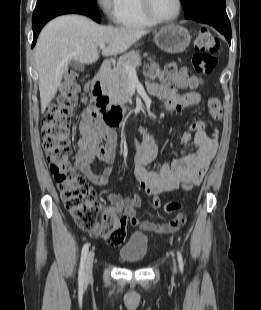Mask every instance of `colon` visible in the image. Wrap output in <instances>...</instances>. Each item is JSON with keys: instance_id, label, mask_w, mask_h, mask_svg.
I'll use <instances>...</instances> for the list:
<instances>
[{"instance_id": "obj_1", "label": "colon", "mask_w": 261, "mask_h": 310, "mask_svg": "<svg viewBox=\"0 0 261 310\" xmlns=\"http://www.w3.org/2000/svg\"><path fill=\"white\" fill-rule=\"evenodd\" d=\"M195 53L191 57L194 70L201 75H210L217 66L214 54L219 49V41L209 31L201 30L194 43ZM152 76H160L169 87H191L199 81L175 64L166 65L161 71L156 66L149 68ZM77 73L70 71L60 88L54 103L48 107L43 119L42 134L50 171L58 185L61 199L77 225L85 231L104 239L110 246L121 245L126 238L128 216L124 213L101 216V205L96 192L87 184L83 176L72 166L70 157L72 148L69 139L71 117L77 104L78 87L75 82ZM209 114L215 121H220L223 110L218 97L208 100ZM213 137L218 136L214 130ZM194 183L189 181L182 185L184 190H191ZM177 202L166 203L162 207L165 213L177 210ZM186 223V216L178 213L169 222L152 226V230L160 233H174Z\"/></svg>"}]
</instances>
